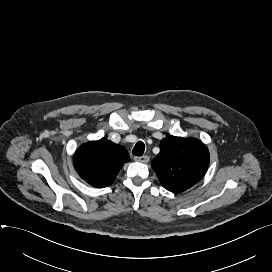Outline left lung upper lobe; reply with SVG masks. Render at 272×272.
Instances as JSON below:
<instances>
[{"label": "left lung upper lobe", "instance_id": "5c2ea615", "mask_svg": "<svg viewBox=\"0 0 272 272\" xmlns=\"http://www.w3.org/2000/svg\"><path fill=\"white\" fill-rule=\"evenodd\" d=\"M209 151L198 139L167 136L160 143V152L151 166L163 187L181 193L205 175Z\"/></svg>", "mask_w": 272, "mask_h": 272}]
</instances>
